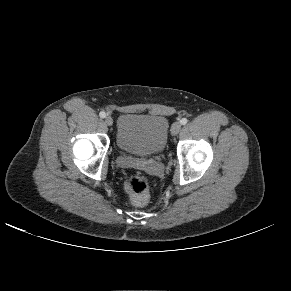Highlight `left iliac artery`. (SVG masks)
<instances>
[{
  "mask_svg": "<svg viewBox=\"0 0 291 291\" xmlns=\"http://www.w3.org/2000/svg\"><path fill=\"white\" fill-rule=\"evenodd\" d=\"M187 122H188V120H187L186 118H182L181 121H180V123H181L182 125L187 124Z\"/></svg>",
  "mask_w": 291,
  "mask_h": 291,
  "instance_id": "obj_1",
  "label": "left iliac artery"
}]
</instances>
